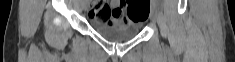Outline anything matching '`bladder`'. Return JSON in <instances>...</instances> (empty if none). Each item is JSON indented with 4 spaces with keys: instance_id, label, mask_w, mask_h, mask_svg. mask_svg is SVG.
<instances>
[{
    "instance_id": "bladder-1",
    "label": "bladder",
    "mask_w": 235,
    "mask_h": 62,
    "mask_svg": "<svg viewBox=\"0 0 235 62\" xmlns=\"http://www.w3.org/2000/svg\"><path fill=\"white\" fill-rule=\"evenodd\" d=\"M94 30L104 39L111 42H125L133 39L139 32V26L122 25L103 26L95 25Z\"/></svg>"
}]
</instances>
